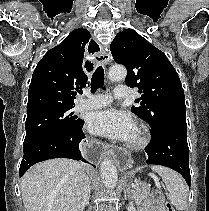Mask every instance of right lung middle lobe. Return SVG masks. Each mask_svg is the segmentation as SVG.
Returning a JSON list of instances; mask_svg holds the SVG:
<instances>
[{"label":"right lung middle lobe","instance_id":"dd1d6c3e","mask_svg":"<svg viewBox=\"0 0 209 211\" xmlns=\"http://www.w3.org/2000/svg\"><path fill=\"white\" fill-rule=\"evenodd\" d=\"M71 108H43L27 112L24 152L37 143L59 133L71 131L83 121L72 117Z\"/></svg>","mask_w":209,"mask_h":211}]
</instances>
